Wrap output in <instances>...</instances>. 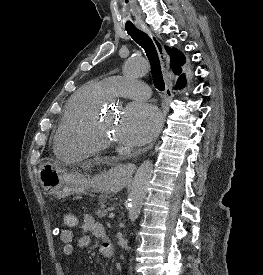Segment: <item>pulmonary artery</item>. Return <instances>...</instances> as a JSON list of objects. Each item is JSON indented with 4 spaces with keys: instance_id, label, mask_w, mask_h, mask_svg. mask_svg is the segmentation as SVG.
Listing matches in <instances>:
<instances>
[{
    "instance_id": "1",
    "label": "pulmonary artery",
    "mask_w": 263,
    "mask_h": 275,
    "mask_svg": "<svg viewBox=\"0 0 263 275\" xmlns=\"http://www.w3.org/2000/svg\"><path fill=\"white\" fill-rule=\"evenodd\" d=\"M107 91L109 97H125L133 99H145L151 94L148 85L134 78H125L123 76H110L104 78L101 82Z\"/></svg>"
}]
</instances>
